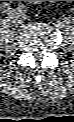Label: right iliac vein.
<instances>
[{
  "label": "right iliac vein",
  "mask_w": 74,
  "mask_h": 122,
  "mask_svg": "<svg viewBox=\"0 0 74 122\" xmlns=\"http://www.w3.org/2000/svg\"><path fill=\"white\" fill-rule=\"evenodd\" d=\"M10 18L14 21V22H20L21 20V16L19 13L16 12H10Z\"/></svg>",
  "instance_id": "right-iliac-vein-1"
}]
</instances>
